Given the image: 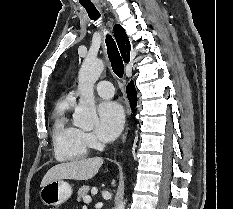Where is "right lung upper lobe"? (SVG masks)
<instances>
[{
  "instance_id": "right-lung-upper-lobe-1",
  "label": "right lung upper lobe",
  "mask_w": 233,
  "mask_h": 209,
  "mask_svg": "<svg viewBox=\"0 0 233 209\" xmlns=\"http://www.w3.org/2000/svg\"><path fill=\"white\" fill-rule=\"evenodd\" d=\"M113 31H114V36H115V39L117 41L121 55H122L124 61L126 63H128L130 61L131 45H130L129 39L126 35V32L123 29V27L119 24H116L113 27Z\"/></svg>"
}]
</instances>
